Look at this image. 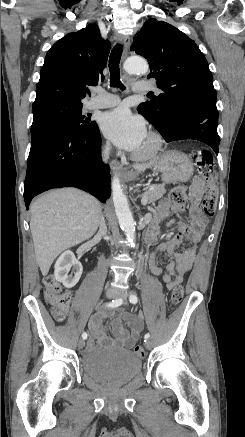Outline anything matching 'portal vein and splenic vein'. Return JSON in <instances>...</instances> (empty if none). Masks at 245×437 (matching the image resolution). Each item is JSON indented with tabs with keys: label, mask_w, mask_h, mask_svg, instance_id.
<instances>
[{
	"label": "portal vein and splenic vein",
	"mask_w": 245,
	"mask_h": 437,
	"mask_svg": "<svg viewBox=\"0 0 245 437\" xmlns=\"http://www.w3.org/2000/svg\"><path fill=\"white\" fill-rule=\"evenodd\" d=\"M141 203H142L143 205H146V204H147V198H146V196H145L144 194L142 195Z\"/></svg>",
	"instance_id": "obj_1"
}]
</instances>
